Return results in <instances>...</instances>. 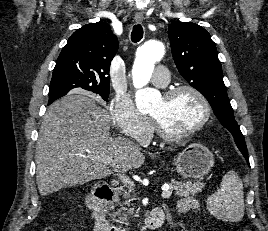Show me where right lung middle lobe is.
Instances as JSON below:
<instances>
[{"instance_id": "right-lung-middle-lobe-1", "label": "right lung middle lobe", "mask_w": 268, "mask_h": 231, "mask_svg": "<svg viewBox=\"0 0 268 231\" xmlns=\"http://www.w3.org/2000/svg\"><path fill=\"white\" fill-rule=\"evenodd\" d=\"M67 93L66 89L63 88H50L49 96H55V95H65ZM96 94H99L104 100H107L109 97V90L106 91H96L94 92Z\"/></svg>"}]
</instances>
